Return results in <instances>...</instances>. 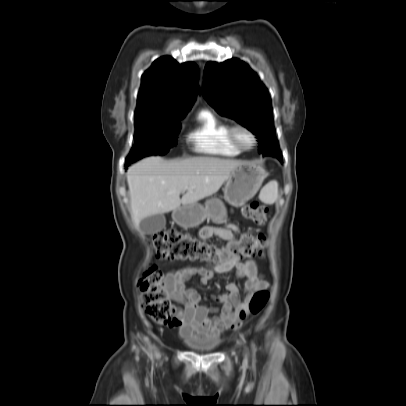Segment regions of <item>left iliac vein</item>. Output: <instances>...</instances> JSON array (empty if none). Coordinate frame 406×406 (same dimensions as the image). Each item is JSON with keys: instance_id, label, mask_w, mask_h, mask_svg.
<instances>
[{"instance_id": "obj_1", "label": "left iliac vein", "mask_w": 406, "mask_h": 406, "mask_svg": "<svg viewBox=\"0 0 406 406\" xmlns=\"http://www.w3.org/2000/svg\"><path fill=\"white\" fill-rule=\"evenodd\" d=\"M244 359H245V361H248V354L247 353H245Z\"/></svg>"}]
</instances>
